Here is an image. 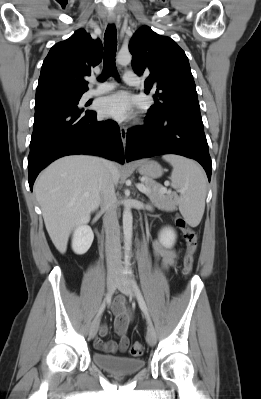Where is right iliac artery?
Listing matches in <instances>:
<instances>
[{"label":"right iliac artery","mask_w":261,"mask_h":399,"mask_svg":"<svg viewBox=\"0 0 261 399\" xmlns=\"http://www.w3.org/2000/svg\"><path fill=\"white\" fill-rule=\"evenodd\" d=\"M110 301H111V295L108 294V295L106 296V298L104 299L103 303L101 304L99 310H98V315H101V314L103 313V311H104L105 308H106V305H107Z\"/></svg>","instance_id":"82829eb1"}]
</instances>
